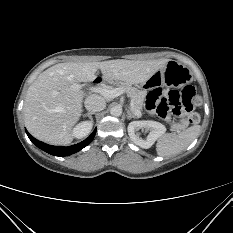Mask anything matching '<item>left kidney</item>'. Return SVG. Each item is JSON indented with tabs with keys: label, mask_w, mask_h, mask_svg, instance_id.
<instances>
[{
	"label": "left kidney",
	"mask_w": 233,
	"mask_h": 233,
	"mask_svg": "<svg viewBox=\"0 0 233 233\" xmlns=\"http://www.w3.org/2000/svg\"><path fill=\"white\" fill-rule=\"evenodd\" d=\"M139 129L149 130L146 139H142L136 133ZM166 128L163 124L156 121H132L128 125V135L130 139L138 146L148 149L154 142L165 133Z\"/></svg>",
	"instance_id": "obj_1"
}]
</instances>
